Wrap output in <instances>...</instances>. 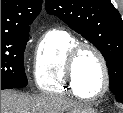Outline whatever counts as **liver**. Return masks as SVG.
I'll return each instance as SVG.
<instances>
[{
  "instance_id": "1",
  "label": "liver",
  "mask_w": 123,
  "mask_h": 113,
  "mask_svg": "<svg viewBox=\"0 0 123 113\" xmlns=\"http://www.w3.org/2000/svg\"><path fill=\"white\" fill-rule=\"evenodd\" d=\"M80 105L60 95H28L1 91V113H76Z\"/></svg>"
}]
</instances>
